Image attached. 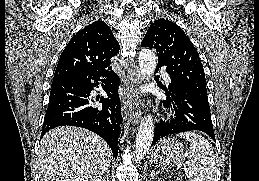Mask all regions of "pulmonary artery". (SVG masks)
<instances>
[{"mask_svg":"<svg viewBox=\"0 0 259 181\" xmlns=\"http://www.w3.org/2000/svg\"><path fill=\"white\" fill-rule=\"evenodd\" d=\"M163 77H164V79H165L166 82H170L171 78H170L169 74H167V73L164 72V73H163Z\"/></svg>","mask_w":259,"mask_h":181,"instance_id":"e3ab8cb5","label":"pulmonary artery"}]
</instances>
